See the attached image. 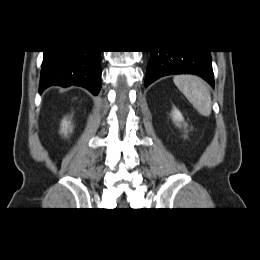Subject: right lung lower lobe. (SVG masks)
<instances>
[{
	"instance_id": "right-lung-lower-lobe-1",
	"label": "right lung lower lobe",
	"mask_w": 260,
	"mask_h": 260,
	"mask_svg": "<svg viewBox=\"0 0 260 260\" xmlns=\"http://www.w3.org/2000/svg\"><path fill=\"white\" fill-rule=\"evenodd\" d=\"M101 51H44L39 91L52 85H77L97 95L101 87Z\"/></svg>"
}]
</instances>
